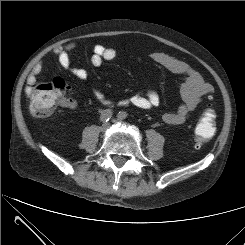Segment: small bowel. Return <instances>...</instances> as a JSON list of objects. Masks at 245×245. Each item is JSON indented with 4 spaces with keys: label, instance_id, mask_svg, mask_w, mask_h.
I'll return each mask as SVG.
<instances>
[{
    "label": "small bowel",
    "instance_id": "1",
    "mask_svg": "<svg viewBox=\"0 0 245 245\" xmlns=\"http://www.w3.org/2000/svg\"><path fill=\"white\" fill-rule=\"evenodd\" d=\"M74 48V44L59 46L56 47L52 53L58 59L63 69L80 80H86L88 78L87 70L81 67H75L71 62L70 52ZM116 56L117 52L115 49L98 44L93 48L91 63L94 66H99L103 61L113 60ZM150 58L170 72L184 77L185 80L181 87L182 104L174 112L165 111L162 113L163 121L167 124L176 125L184 123L197 108L202 99L212 92V86L204 80L197 70L166 53L153 52L151 53ZM44 66V63L38 62L33 67L32 72L28 77V83L36 82V79L42 72ZM93 94L101 103L106 105L110 104V101L106 99L101 90L94 88ZM118 104L121 106H134L143 110H154L159 108L160 98L156 92L146 90L135 94L128 99L119 101ZM70 106L74 107L75 105L71 104Z\"/></svg>",
    "mask_w": 245,
    "mask_h": 245
}]
</instances>
